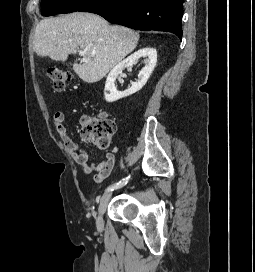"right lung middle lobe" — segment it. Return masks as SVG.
<instances>
[{"mask_svg": "<svg viewBox=\"0 0 255 272\" xmlns=\"http://www.w3.org/2000/svg\"><path fill=\"white\" fill-rule=\"evenodd\" d=\"M92 0H42L43 16L76 12L88 5Z\"/></svg>", "mask_w": 255, "mask_h": 272, "instance_id": "dd1d6c3e", "label": "right lung middle lobe"}]
</instances>
